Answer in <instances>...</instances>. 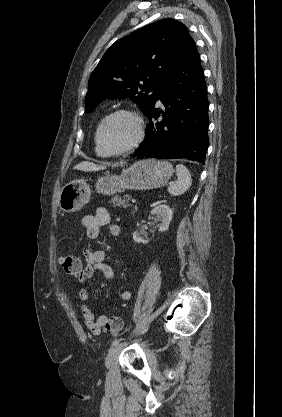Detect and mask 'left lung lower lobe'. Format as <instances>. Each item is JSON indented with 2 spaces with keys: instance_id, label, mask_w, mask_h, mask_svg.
Segmentation results:
<instances>
[{
  "instance_id": "left-lung-lower-lobe-1",
  "label": "left lung lower lobe",
  "mask_w": 282,
  "mask_h": 417,
  "mask_svg": "<svg viewBox=\"0 0 282 417\" xmlns=\"http://www.w3.org/2000/svg\"><path fill=\"white\" fill-rule=\"evenodd\" d=\"M159 99L165 111L156 106ZM208 106L204 72L192 42L164 77L159 94L146 114L150 123L145 140L132 157L186 158L204 164L208 148Z\"/></svg>"
}]
</instances>
